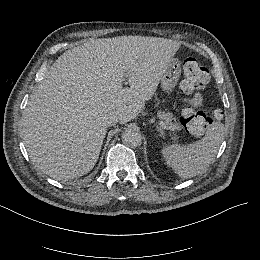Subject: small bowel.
<instances>
[{"mask_svg":"<svg viewBox=\"0 0 260 260\" xmlns=\"http://www.w3.org/2000/svg\"><path fill=\"white\" fill-rule=\"evenodd\" d=\"M203 96L201 93L199 92H196L192 95L191 98L185 100L183 106L185 105H190L191 107H194V108H198L199 106H201L203 104Z\"/></svg>","mask_w":260,"mask_h":260,"instance_id":"small-bowel-1","label":"small bowel"}]
</instances>
